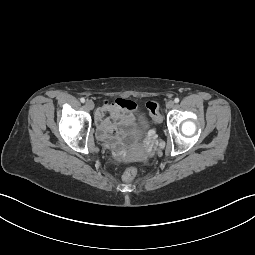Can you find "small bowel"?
I'll return each instance as SVG.
<instances>
[{"label":"small bowel","instance_id":"obj_1","mask_svg":"<svg viewBox=\"0 0 255 255\" xmlns=\"http://www.w3.org/2000/svg\"><path fill=\"white\" fill-rule=\"evenodd\" d=\"M136 103L128 99L105 100L97 110L96 123L99 137L109 143L135 125Z\"/></svg>","mask_w":255,"mask_h":255}]
</instances>
